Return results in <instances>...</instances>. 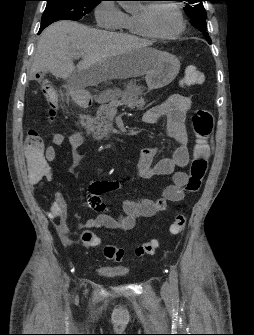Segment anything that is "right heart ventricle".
<instances>
[{"mask_svg":"<svg viewBox=\"0 0 254 335\" xmlns=\"http://www.w3.org/2000/svg\"><path fill=\"white\" fill-rule=\"evenodd\" d=\"M119 28L134 36H140V37L150 36L141 25L137 13L124 14L123 21Z\"/></svg>","mask_w":254,"mask_h":335,"instance_id":"obj_1","label":"right heart ventricle"}]
</instances>
